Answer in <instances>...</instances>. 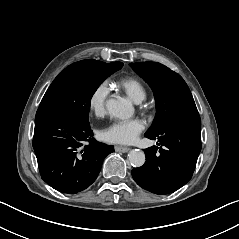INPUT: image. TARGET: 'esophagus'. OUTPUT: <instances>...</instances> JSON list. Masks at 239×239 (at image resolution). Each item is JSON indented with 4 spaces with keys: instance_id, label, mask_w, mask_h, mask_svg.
Returning a JSON list of instances; mask_svg holds the SVG:
<instances>
[{
    "instance_id": "obj_1",
    "label": "esophagus",
    "mask_w": 239,
    "mask_h": 239,
    "mask_svg": "<svg viewBox=\"0 0 239 239\" xmlns=\"http://www.w3.org/2000/svg\"><path fill=\"white\" fill-rule=\"evenodd\" d=\"M129 150H130V148H128V147L115 146V151L116 152L125 153V152H128Z\"/></svg>"
}]
</instances>
